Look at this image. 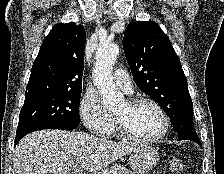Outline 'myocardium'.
Here are the masks:
<instances>
[{
  "label": "myocardium",
  "mask_w": 224,
  "mask_h": 174,
  "mask_svg": "<svg viewBox=\"0 0 224 174\" xmlns=\"http://www.w3.org/2000/svg\"><path fill=\"white\" fill-rule=\"evenodd\" d=\"M126 102L129 107H135L142 103H147V104L152 105L161 115L162 120H163V127H162L161 131L154 136H150V137L139 136V135L131 132L126 127L124 122L115 115V123H116L117 131L121 137L131 140V141L151 143V142H156V141L162 139L167 134V132L169 131V128H170V119H169L168 114L164 110V108L156 100H154L150 97L139 96V97L130 98Z\"/></svg>",
  "instance_id": "1"
}]
</instances>
